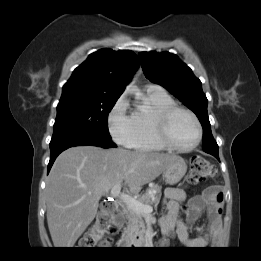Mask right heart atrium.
I'll list each match as a JSON object with an SVG mask.
<instances>
[{"label":"right heart atrium","instance_id":"d8ad5b80","mask_svg":"<svg viewBox=\"0 0 261 261\" xmlns=\"http://www.w3.org/2000/svg\"><path fill=\"white\" fill-rule=\"evenodd\" d=\"M108 127L111 136L119 144L130 146L135 136L132 115L128 113V101L121 95L108 115Z\"/></svg>","mask_w":261,"mask_h":261}]
</instances>
